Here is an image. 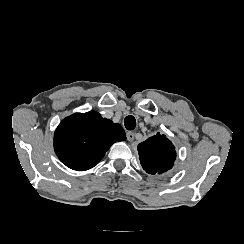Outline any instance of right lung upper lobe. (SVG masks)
<instances>
[{"instance_id":"right-lung-upper-lobe-1","label":"right lung upper lobe","mask_w":244,"mask_h":244,"mask_svg":"<svg viewBox=\"0 0 244 244\" xmlns=\"http://www.w3.org/2000/svg\"><path fill=\"white\" fill-rule=\"evenodd\" d=\"M124 140L126 134L119 124L90 111L61 121L54 134V149L67 167L85 171L97 165L113 143Z\"/></svg>"}]
</instances>
